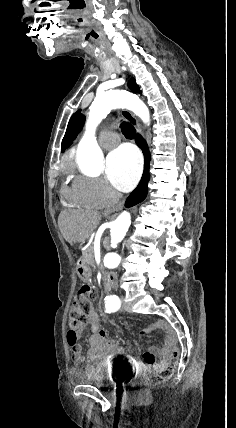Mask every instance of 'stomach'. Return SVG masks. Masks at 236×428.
Instances as JSON below:
<instances>
[{"label":"stomach","mask_w":236,"mask_h":428,"mask_svg":"<svg viewBox=\"0 0 236 428\" xmlns=\"http://www.w3.org/2000/svg\"><path fill=\"white\" fill-rule=\"evenodd\" d=\"M77 276L79 279H81L82 283L88 284L94 282V275L92 272V265L91 264H82L81 266H78L76 269Z\"/></svg>","instance_id":"1"}]
</instances>
